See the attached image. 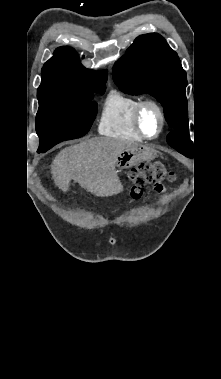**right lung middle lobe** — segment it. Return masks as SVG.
Here are the masks:
<instances>
[{
  "label": "right lung middle lobe",
  "mask_w": 221,
  "mask_h": 379,
  "mask_svg": "<svg viewBox=\"0 0 221 379\" xmlns=\"http://www.w3.org/2000/svg\"><path fill=\"white\" fill-rule=\"evenodd\" d=\"M104 94L105 86L75 95H54L38 98L36 131L39 149H50L55 144L84 136L90 129L97 104L94 92Z\"/></svg>",
  "instance_id": "right-lung-middle-lobe-1"
}]
</instances>
